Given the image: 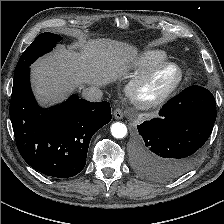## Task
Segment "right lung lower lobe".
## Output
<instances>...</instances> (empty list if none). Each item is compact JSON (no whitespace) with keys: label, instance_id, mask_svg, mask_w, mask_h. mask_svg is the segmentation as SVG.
<instances>
[{"label":"right lung lower lobe","instance_id":"right-lung-lower-lobe-1","mask_svg":"<svg viewBox=\"0 0 224 224\" xmlns=\"http://www.w3.org/2000/svg\"><path fill=\"white\" fill-rule=\"evenodd\" d=\"M9 113L26 163L58 178L82 171L91 137L111 120L108 102H88L77 95L49 109L40 108L31 91L29 67L13 81Z\"/></svg>","mask_w":224,"mask_h":224}]
</instances>
